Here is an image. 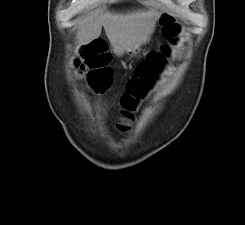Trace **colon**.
I'll use <instances>...</instances> for the list:
<instances>
[{
  "mask_svg": "<svg viewBox=\"0 0 245 225\" xmlns=\"http://www.w3.org/2000/svg\"><path fill=\"white\" fill-rule=\"evenodd\" d=\"M161 23L163 35L169 41L175 40L179 31L175 18L164 13L161 17ZM81 56L89 61L88 76L94 90L97 93L107 91L113 82V70L110 67V56L106 51L105 44L94 40L86 45ZM158 57V53L153 52L146 59L140 61L126 84V89L121 96L124 109L117 125L118 129L125 134L134 128L139 102L144 98L160 69Z\"/></svg>",
  "mask_w": 245,
  "mask_h": 225,
  "instance_id": "1",
  "label": "colon"
}]
</instances>
